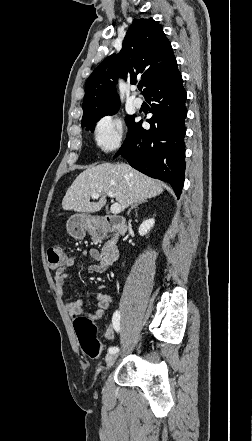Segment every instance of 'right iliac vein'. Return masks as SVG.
<instances>
[{"instance_id":"63e3f726","label":"right iliac vein","mask_w":252,"mask_h":441,"mask_svg":"<svg viewBox=\"0 0 252 441\" xmlns=\"http://www.w3.org/2000/svg\"><path fill=\"white\" fill-rule=\"evenodd\" d=\"M118 355L117 354H108L105 358V362H106V369H108L109 367H111L115 361L117 360Z\"/></svg>"}]
</instances>
